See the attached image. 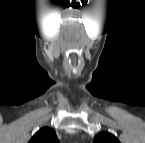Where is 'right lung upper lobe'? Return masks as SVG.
<instances>
[{"label":"right lung upper lobe","instance_id":"1","mask_svg":"<svg viewBox=\"0 0 145 143\" xmlns=\"http://www.w3.org/2000/svg\"><path fill=\"white\" fill-rule=\"evenodd\" d=\"M29 143H59V141L52 129L44 127L36 132Z\"/></svg>","mask_w":145,"mask_h":143}]
</instances>
